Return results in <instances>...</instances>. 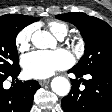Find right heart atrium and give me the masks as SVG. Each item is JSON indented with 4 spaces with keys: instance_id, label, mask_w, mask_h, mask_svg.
<instances>
[{
    "instance_id": "1",
    "label": "right heart atrium",
    "mask_w": 112,
    "mask_h": 112,
    "mask_svg": "<svg viewBox=\"0 0 112 112\" xmlns=\"http://www.w3.org/2000/svg\"><path fill=\"white\" fill-rule=\"evenodd\" d=\"M33 27L27 26L20 30L15 38V44L20 52H25L30 48Z\"/></svg>"
}]
</instances>
